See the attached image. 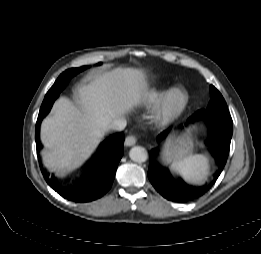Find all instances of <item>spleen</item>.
Segmentation results:
<instances>
[{"label":"spleen","instance_id":"1","mask_svg":"<svg viewBox=\"0 0 261 254\" xmlns=\"http://www.w3.org/2000/svg\"><path fill=\"white\" fill-rule=\"evenodd\" d=\"M172 170L193 183H202L209 174V161L204 155H191L172 164Z\"/></svg>","mask_w":261,"mask_h":254}]
</instances>
